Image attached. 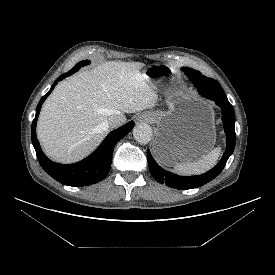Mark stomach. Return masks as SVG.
Listing matches in <instances>:
<instances>
[{
	"label": "stomach",
	"mask_w": 275,
	"mask_h": 275,
	"mask_svg": "<svg viewBox=\"0 0 275 275\" xmlns=\"http://www.w3.org/2000/svg\"><path fill=\"white\" fill-rule=\"evenodd\" d=\"M151 84L172 75L169 64H152L143 69ZM169 110L153 113L157 125L153 143L155 157L164 165L197 161L208 154L216 141L212 106L182 92L168 99Z\"/></svg>",
	"instance_id": "0dacf381"
}]
</instances>
